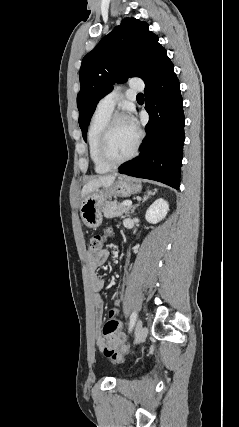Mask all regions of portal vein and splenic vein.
Returning a JSON list of instances; mask_svg holds the SVG:
<instances>
[{"label":"portal vein and splenic vein","mask_w":239,"mask_h":427,"mask_svg":"<svg viewBox=\"0 0 239 427\" xmlns=\"http://www.w3.org/2000/svg\"><path fill=\"white\" fill-rule=\"evenodd\" d=\"M122 205L123 206H131L132 205V202L131 201H129V200H127V201H124L123 203H122Z\"/></svg>","instance_id":"obj_1"}]
</instances>
